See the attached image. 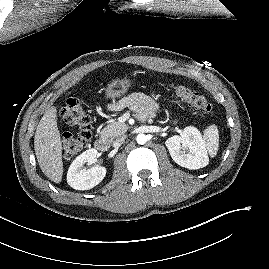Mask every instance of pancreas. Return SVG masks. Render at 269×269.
I'll use <instances>...</instances> for the list:
<instances>
[{
	"mask_svg": "<svg viewBox=\"0 0 269 269\" xmlns=\"http://www.w3.org/2000/svg\"><path fill=\"white\" fill-rule=\"evenodd\" d=\"M176 122V121H174ZM129 127L125 123L111 122L101 131V138L112 141L114 138L123 135Z\"/></svg>",
	"mask_w": 269,
	"mask_h": 269,
	"instance_id": "1",
	"label": "pancreas"
}]
</instances>
